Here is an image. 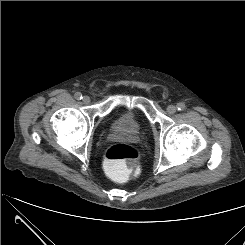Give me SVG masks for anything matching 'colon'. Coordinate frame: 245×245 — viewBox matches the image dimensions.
Returning a JSON list of instances; mask_svg holds the SVG:
<instances>
[{
  "instance_id": "1",
  "label": "colon",
  "mask_w": 245,
  "mask_h": 245,
  "mask_svg": "<svg viewBox=\"0 0 245 245\" xmlns=\"http://www.w3.org/2000/svg\"><path fill=\"white\" fill-rule=\"evenodd\" d=\"M138 158L139 151L132 145L122 143L111 145L104 156L108 176L115 181H123Z\"/></svg>"
}]
</instances>
